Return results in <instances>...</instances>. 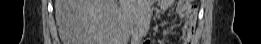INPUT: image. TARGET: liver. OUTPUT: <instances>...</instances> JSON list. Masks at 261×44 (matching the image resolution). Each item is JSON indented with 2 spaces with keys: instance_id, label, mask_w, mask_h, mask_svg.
Listing matches in <instances>:
<instances>
[{
  "instance_id": "6515ba94",
  "label": "liver",
  "mask_w": 261,
  "mask_h": 44,
  "mask_svg": "<svg viewBox=\"0 0 261 44\" xmlns=\"http://www.w3.org/2000/svg\"><path fill=\"white\" fill-rule=\"evenodd\" d=\"M54 7L64 44H117L124 31L111 24H128L125 14H114L121 13L116 0H56Z\"/></svg>"
}]
</instances>
